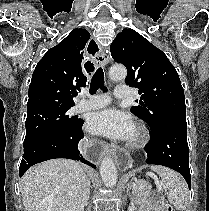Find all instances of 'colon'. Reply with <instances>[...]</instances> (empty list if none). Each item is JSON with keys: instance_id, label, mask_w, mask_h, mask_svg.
Segmentation results:
<instances>
[{"instance_id": "colon-1", "label": "colon", "mask_w": 209, "mask_h": 211, "mask_svg": "<svg viewBox=\"0 0 209 211\" xmlns=\"http://www.w3.org/2000/svg\"><path fill=\"white\" fill-rule=\"evenodd\" d=\"M165 211H175V210L173 209V207L169 203H167L165 205Z\"/></svg>"}]
</instances>
